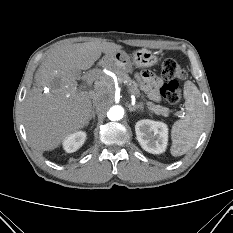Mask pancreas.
I'll use <instances>...</instances> for the list:
<instances>
[{
	"mask_svg": "<svg viewBox=\"0 0 233 233\" xmlns=\"http://www.w3.org/2000/svg\"><path fill=\"white\" fill-rule=\"evenodd\" d=\"M115 73L118 77V80L120 82H123L127 85L128 87V91L130 94L135 95L136 97H140L142 96V94L140 93V90L138 88V84L132 80L128 74L124 73L123 71L119 70V69H115ZM147 108L157 114V115H164V116H168L169 114V109L160 105H155L153 102H146Z\"/></svg>",
	"mask_w": 233,
	"mask_h": 233,
	"instance_id": "1",
	"label": "pancreas"
}]
</instances>
